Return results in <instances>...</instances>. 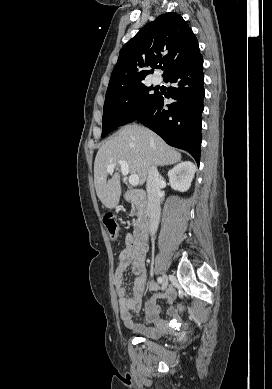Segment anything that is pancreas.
Returning <instances> with one entry per match:
<instances>
[{"mask_svg": "<svg viewBox=\"0 0 272 389\" xmlns=\"http://www.w3.org/2000/svg\"><path fill=\"white\" fill-rule=\"evenodd\" d=\"M132 205H133L134 210H136V212L132 213V215H136L138 218H141L143 211H144L143 204H141L138 201H133Z\"/></svg>", "mask_w": 272, "mask_h": 389, "instance_id": "1", "label": "pancreas"}]
</instances>
